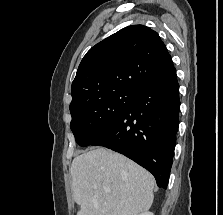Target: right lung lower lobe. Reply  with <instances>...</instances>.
I'll use <instances>...</instances> for the list:
<instances>
[{
  "mask_svg": "<svg viewBox=\"0 0 223 215\" xmlns=\"http://www.w3.org/2000/svg\"><path fill=\"white\" fill-rule=\"evenodd\" d=\"M176 74L137 93L119 121L91 145L122 153L151 172L166 189L179 125Z\"/></svg>",
  "mask_w": 223,
  "mask_h": 215,
  "instance_id": "1",
  "label": "right lung lower lobe"
}]
</instances>
